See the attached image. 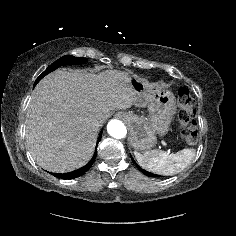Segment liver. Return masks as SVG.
<instances>
[{
  "mask_svg": "<svg viewBox=\"0 0 236 236\" xmlns=\"http://www.w3.org/2000/svg\"><path fill=\"white\" fill-rule=\"evenodd\" d=\"M138 97L126 73L100 74L57 70L35 87L26 119V142L42 168L57 173L84 166L94 153L100 126L116 109H128Z\"/></svg>",
  "mask_w": 236,
  "mask_h": 236,
  "instance_id": "liver-1",
  "label": "liver"
}]
</instances>
